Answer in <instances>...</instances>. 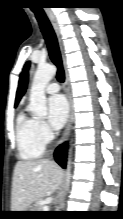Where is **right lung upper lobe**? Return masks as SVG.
Masks as SVG:
<instances>
[{"mask_svg":"<svg viewBox=\"0 0 123 219\" xmlns=\"http://www.w3.org/2000/svg\"><path fill=\"white\" fill-rule=\"evenodd\" d=\"M27 81H28V76L26 75L18 87L17 94H16V100H15V107L18 105L20 99L22 98V96L24 95L26 91Z\"/></svg>","mask_w":123,"mask_h":219,"instance_id":"obj_1","label":"right lung upper lobe"}]
</instances>
